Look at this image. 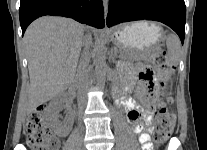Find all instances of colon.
Segmentation results:
<instances>
[{
    "label": "colon",
    "instance_id": "1",
    "mask_svg": "<svg viewBox=\"0 0 207 150\" xmlns=\"http://www.w3.org/2000/svg\"><path fill=\"white\" fill-rule=\"evenodd\" d=\"M152 63L161 75V83L157 89L158 105L154 130V141L161 144L176 127L175 117L169 108L171 98L166 94V80L171 75L173 66L164 50H157L152 54ZM25 133L31 150H56L57 140L46 126L45 112L42 108L36 109L28 116Z\"/></svg>",
    "mask_w": 207,
    "mask_h": 150
}]
</instances>
